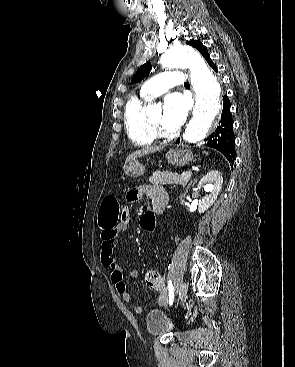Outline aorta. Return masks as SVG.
<instances>
[{
    "mask_svg": "<svg viewBox=\"0 0 295 367\" xmlns=\"http://www.w3.org/2000/svg\"><path fill=\"white\" fill-rule=\"evenodd\" d=\"M161 65L165 68L190 69L196 103L183 139L188 143L202 141L221 110V88L216 75L194 49L186 46H175L166 51L161 57ZM159 110L156 104H148L145 113L151 115Z\"/></svg>",
    "mask_w": 295,
    "mask_h": 367,
    "instance_id": "762f6f07",
    "label": "aorta"
}]
</instances>
